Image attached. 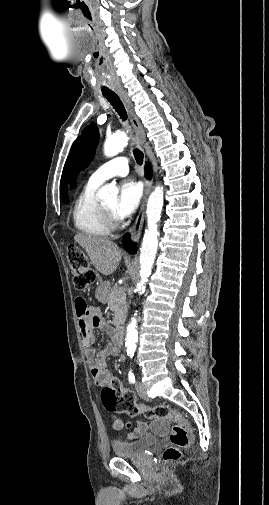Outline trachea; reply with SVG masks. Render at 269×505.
<instances>
[{
    "instance_id": "1",
    "label": "trachea",
    "mask_w": 269,
    "mask_h": 505,
    "mask_svg": "<svg viewBox=\"0 0 269 505\" xmlns=\"http://www.w3.org/2000/svg\"><path fill=\"white\" fill-rule=\"evenodd\" d=\"M102 94L111 103V105L116 110V112L118 113V115L120 116V118L123 121H125L127 119V112L125 110V107H124L122 101L118 97V95L116 93L112 92V91L103 92ZM133 154H134V157L136 159V162L139 165H142V163H143V157H144L143 152L141 150H139L138 148H135L133 150Z\"/></svg>"
}]
</instances>
